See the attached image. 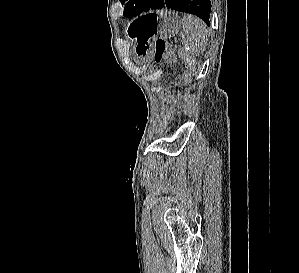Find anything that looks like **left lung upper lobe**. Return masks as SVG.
<instances>
[{
  "instance_id": "1",
  "label": "left lung upper lobe",
  "mask_w": 299,
  "mask_h": 273,
  "mask_svg": "<svg viewBox=\"0 0 299 273\" xmlns=\"http://www.w3.org/2000/svg\"><path fill=\"white\" fill-rule=\"evenodd\" d=\"M122 4L125 2L124 16L134 17L143 12L147 0H120Z\"/></svg>"
}]
</instances>
